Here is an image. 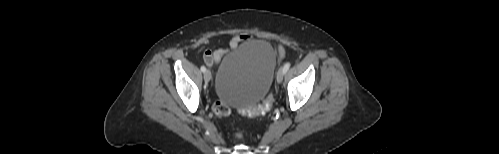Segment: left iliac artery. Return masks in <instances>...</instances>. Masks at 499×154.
<instances>
[{
  "mask_svg": "<svg viewBox=\"0 0 499 154\" xmlns=\"http://www.w3.org/2000/svg\"><path fill=\"white\" fill-rule=\"evenodd\" d=\"M290 68V63L287 62L284 66H283V71L284 73H286L288 71V69Z\"/></svg>",
  "mask_w": 499,
  "mask_h": 154,
  "instance_id": "obj_1",
  "label": "left iliac artery"
}]
</instances>
